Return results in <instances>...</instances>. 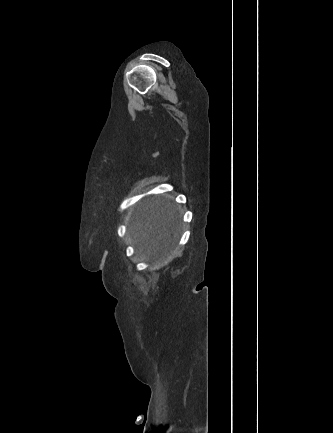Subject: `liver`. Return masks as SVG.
I'll return each instance as SVG.
<instances>
[{"mask_svg": "<svg viewBox=\"0 0 333 433\" xmlns=\"http://www.w3.org/2000/svg\"><path fill=\"white\" fill-rule=\"evenodd\" d=\"M181 228L178 207L168 196H154L140 202L128 225L136 251L144 259L159 264L174 250Z\"/></svg>", "mask_w": 333, "mask_h": 433, "instance_id": "6515ba94", "label": "liver"}]
</instances>
